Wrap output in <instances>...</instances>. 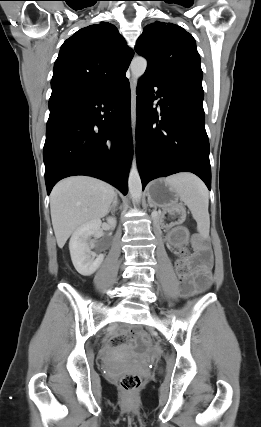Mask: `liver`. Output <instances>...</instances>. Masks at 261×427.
Segmentation results:
<instances>
[{
	"label": "liver",
	"instance_id": "obj_1",
	"mask_svg": "<svg viewBox=\"0 0 261 427\" xmlns=\"http://www.w3.org/2000/svg\"><path fill=\"white\" fill-rule=\"evenodd\" d=\"M115 195L113 186L87 176L57 183L50 195V210L58 246L62 248L78 227L104 217Z\"/></svg>",
	"mask_w": 261,
	"mask_h": 427
}]
</instances>
